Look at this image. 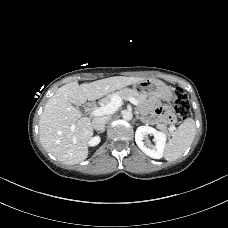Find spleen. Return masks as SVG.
I'll list each match as a JSON object with an SVG mask.
<instances>
[{"label": "spleen", "instance_id": "obj_1", "mask_svg": "<svg viewBox=\"0 0 228 228\" xmlns=\"http://www.w3.org/2000/svg\"><path fill=\"white\" fill-rule=\"evenodd\" d=\"M195 135V121L187 118L172 134V138L166 145L164 158L171 162L181 157L192 144Z\"/></svg>", "mask_w": 228, "mask_h": 228}]
</instances>
